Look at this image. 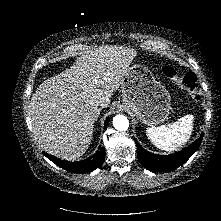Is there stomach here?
<instances>
[{"label": "stomach", "instance_id": "1", "mask_svg": "<svg viewBox=\"0 0 221 221\" xmlns=\"http://www.w3.org/2000/svg\"><path fill=\"white\" fill-rule=\"evenodd\" d=\"M121 90L125 107L142 123L155 126L167 119L171 109L170 94L145 66H130Z\"/></svg>", "mask_w": 221, "mask_h": 221}]
</instances>
